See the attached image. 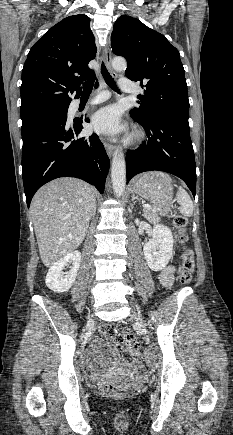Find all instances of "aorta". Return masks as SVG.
<instances>
[{
	"mask_svg": "<svg viewBox=\"0 0 233 435\" xmlns=\"http://www.w3.org/2000/svg\"><path fill=\"white\" fill-rule=\"evenodd\" d=\"M112 66L116 71H124L127 63L123 58H115L112 61ZM111 180L115 196H122L126 184V164L124 153L118 148L114 152L112 159Z\"/></svg>",
	"mask_w": 233,
	"mask_h": 435,
	"instance_id": "obj_1",
	"label": "aorta"
}]
</instances>
